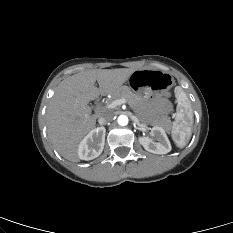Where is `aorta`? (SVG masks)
Returning <instances> with one entry per match:
<instances>
[{
    "label": "aorta",
    "mask_w": 233,
    "mask_h": 233,
    "mask_svg": "<svg viewBox=\"0 0 233 233\" xmlns=\"http://www.w3.org/2000/svg\"><path fill=\"white\" fill-rule=\"evenodd\" d=\"M128 117L126 115H120L117 119V122L121 126H126L128 124Z\"/></svg>",
    "instance_id": "obj_1"
}]
</instances>
